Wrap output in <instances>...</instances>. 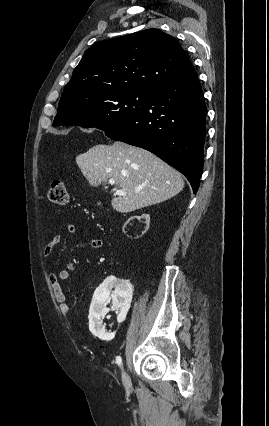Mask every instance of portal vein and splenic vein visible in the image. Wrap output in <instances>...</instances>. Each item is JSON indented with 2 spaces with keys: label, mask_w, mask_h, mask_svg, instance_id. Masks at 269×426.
I'll return each instance as SVG.
<instances>
[{
  "label": "portal vein and splenic vein",
  "mask_w": 269,
  "mask_h": 426,
  "mask_svg": "<svg viewBox=\"0 0 269 426\" xmlns=\"http://www.w3.org/2000/svg\"><path fill=\"white\" fill-rule=\"evenodd\" d=\"M109 184L110 185H114L115 184V180L114 179H110L109 180ZM115 195H126V192L124 190H116Z\"/></svg>",
  "instance_id": "1"
}]
</instances>
